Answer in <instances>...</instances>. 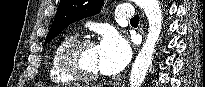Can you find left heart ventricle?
Here are the masks:
<instances>
[{
	"mask_svg": "<svg viewBox=\"0 0 205 87\" xmlns=\"http://www.w3.org/2000/svg\"><path fill=\"white\" fill-rule=\"evenodd\" d=\"M76 62L84 74H95L100 72V62L97 46L83 48L76 57Z\"/></svg>",
	"mask_w": 205,
	"mask_h": 87,
	"instance_id": "left-heart-ventricle-1",
	"label": "left heart ventricle"
}]
</instances>
